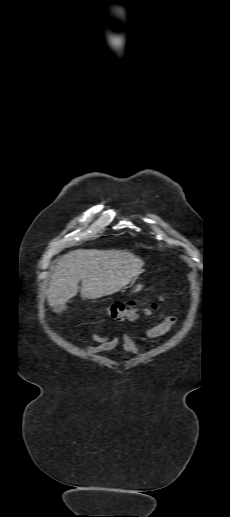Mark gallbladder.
<instances>
[{"label":"gallbladder","instance_id":"1","mask_svg":"<svg viewBox=\"0 0 230 517\" xmlns=\"http://www.w3.org/2000/svg\"><path fill=\"white\" fill-rule=\"evenodd\" d=\"M53 308H54V311L61 312L66 307H65V304H56V305L53 306Z\"/></svg>","mask_w":230,"mask_h":517}]
</instances>
